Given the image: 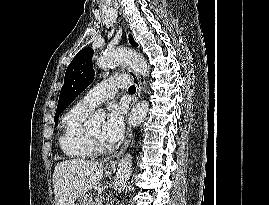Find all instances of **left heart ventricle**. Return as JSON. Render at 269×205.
I'll list each match as a JSON object with an SVG mask.
<instances>
[{
    "label": "left heart ventricle",
    "instance_id": "obj_1",
    "mask_svg": "<svg viewBox=\"0 0 269 205\" xmlns=\"http://www.w3.org/2000/svg\"><path fill=\"white\" fill-rule=\"evenodd\" d=\"M102 128L103 125L102 124H98L96 126H93L92 128L89 129V131L95 136L97 137L102 143H104L105 145H111L108 142H106L103 137H102Z\"/></svg>",
    "mask_w": 269,
    "mask_h": 205
}]
</instances>
